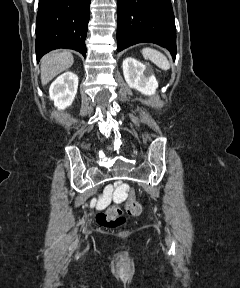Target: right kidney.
Returning <instances> with one entry per match:
<instances>
[{
    "mask_svg": "<svg viewBox=\"0 0 240 288\" xmlns=\"http://www.w3.org/2000/svg\"><path fill=\"white\" fill-rule=\"evenodd\" d=\"M78 88V77L73 72H65L59 76L50 86V99L60 110L73 103Z\"/></svg>",
    "mask_w": 240,
    "mask_h": 288,
    "instance_id": "1",
    "label": "right kidney"
}]
</instances>
